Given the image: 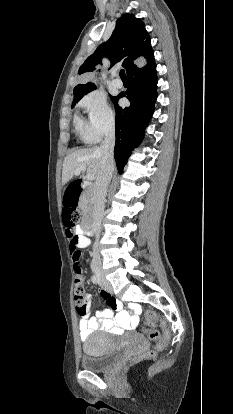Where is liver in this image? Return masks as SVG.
<instances>
[{
	"instance_id": "1",
	"label": "liver",
	"mask_w": 233,
	"mask_h": 414,
	"mask_svg": "<svg viewBox=\"0 0 233 414\" xmlns=\"http://www.w3.org/2000/svg\"><path fill=\"white\" fill-rule=\"evenodd\" d=\"M87 167L88 174H93L97 178L102 167V152L99 147H90L76 150L68 154L63 162L62 184L65 185L73 176H78L75 171L80 167Z\"/></svg>"
}]
</instances>
